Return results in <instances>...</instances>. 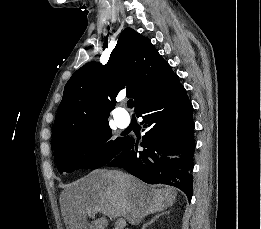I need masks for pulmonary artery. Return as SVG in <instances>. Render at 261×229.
Segmentation results:
<instances>
[{"label":"pulmonary artery","mask_w":261,"mask_h":229,"mask_svg":"<svg viewBox=\"0 0 261 229\" xmlns=\"http://www.w3.org/2000/svg\"><path fill=\"white\" fill-rule=\"evenodd\" d=\"M117 117L120 121L125 122L128 118V112L124 108H118Z\"/></svg>","instance_id":"obj_1"}]
</instances>
